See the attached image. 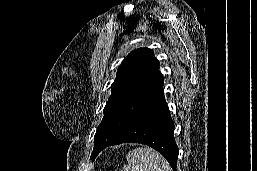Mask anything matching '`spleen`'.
<instances>
[{"label":"spleen","mask_w":257,"mask_h":171,"mask_svg":"<svg viewBox=\"0 0 257 171\" xmlns=\"http://www.w3.org/2000/svg\"><path fill=\"white\" fill-rule=\"evenodd\" d=\"M128 164L120 171H172L164 157L148 147H139L127 154Z\"/></svg>","instance_id":"3e777b00"}]
</instances>
